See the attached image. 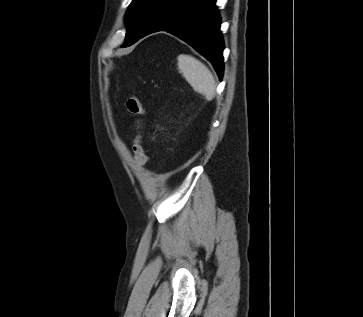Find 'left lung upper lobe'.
<instances>
[{
  "instance_id": "left-lung-upper-lobe-1",
  "label": "left lung upper lobe",
  "mask_w": 363,
  "mask_h": 317,
  "mask_svg": "<svg viewBox=\"0 0 363 317\" xmlns=\"http://www.w3.org/2000/svg\"><path fill=\"white\" fill-rule=\"evenodd\" d=\"M158 0H133L126 12L127 33L123 46L134 44L149 23Z\"/></svg>"
}]
</instances>
